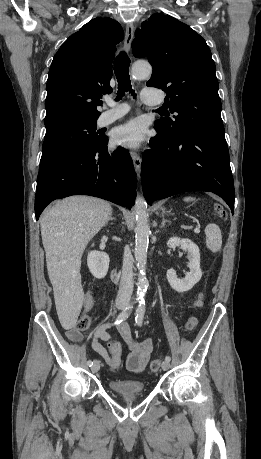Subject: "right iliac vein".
<instances>
[{"label":"right iliac vein","mask_w":261,"mask_h":459,"mask_svg":"<svg viewBox=\"0 0 261 459\" xmlns=\"http://www.w3.org/2000/svg\"><path fill=\"white\" fill-rule=\"evenodd\" d=\"M117 308L123 309L124 308V304H118ZM99 369H100V362L98 360H95L93 365H92V367H91V371L93 373H96L97 371H99Z\"/></svg>","instance_id":"right-iliac-vein-1"}]
</instances>
